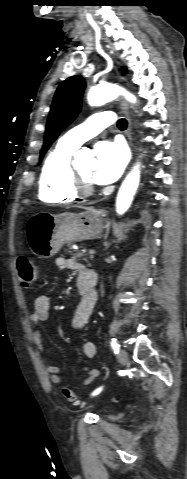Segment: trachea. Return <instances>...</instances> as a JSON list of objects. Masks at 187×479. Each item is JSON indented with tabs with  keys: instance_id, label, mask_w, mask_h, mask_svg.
Masks as SVG:
<instances>
[{
	"instance_id": "trachea-1",
	"label": "trachea",
	"mask_w": 187,
	"mask_h": 479,
	"mask_svg": "<svg viewBox=\"0 0 187 479\" xmlns=\"http://www.w3.org/2000/svg\"><path fill=\"white\" fill-rule=\"evenodd\" d=\"M117 126L120 129H125L127 127L126 119H124V118L119 119L118 122H117Z\"/></svg>"
}]
</instances>
